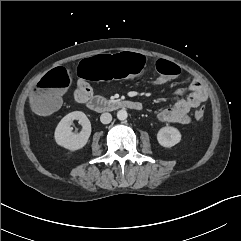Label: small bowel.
<instances>
[{"label": "small bowel", "instance_id": "small-bowel-1", "mask_svg": "<svg viewBox=\"0 0 241 241\" xmlns=\"http://www.w3.org/2000/svg\"><path fill=\"white\" fill-rule=\"evenodd\" d=\"M179 75V72L171 77L166 79H161V76L155 80L156 84H165L170 79L175 78ZM188 90V94L186 91ZM187 90L179 89L176 91V95L179 97L178 100L171 107H167L159 111L158 119L162 122H174L180 124H189L191 118L189 112L191 109L198 108L202 103L207 99V91L198 79H193L190 81ZM74 100L78 103H86L94 97V92L90 84L81 79L78 81L77 87L73 93Z\"/></svg>", "mask_w": 241, "mask_h": 241}]
</instances>
